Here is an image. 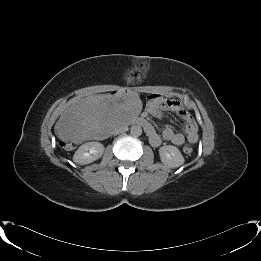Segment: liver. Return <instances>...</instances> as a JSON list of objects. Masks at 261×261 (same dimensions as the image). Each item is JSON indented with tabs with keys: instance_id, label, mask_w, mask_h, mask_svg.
Wrapping results in <instances>:
<instances>
[{
	"instance_id": "obj_1",
	"label": "liver",
	"mask_w": 261,
	"mask_h": 261,
	"mask_svg": "<svg viewBox=\"0 0 261 261\" xmlns=\"http://www.w3.org/2000/svg\"><path fill=\"white\" fill-rule=\"evenodd\" d=\"M140 112L139 96L134 93L92 95L68 108L55 124L62 140L80 143L99 135L115 134Z\"/></svg>"
}]
</instances>
